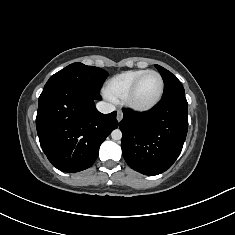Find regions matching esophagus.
<instances>
[{
	"instance_id": "1",
	"label": "esophagus",
	"mask_w": 235,
	"mask_h": 235,
	"mask_svg": "<svg viewBox=\"0 0 235 235\" xmlns=\"http://www.w3.org/2000/svg\"><path fill=\"white\" fill-rule=\"evenodd\" d=\"M123 119V112L121 110L117 111V121L120 122Z\"/></svg>"
}]
</instances>
